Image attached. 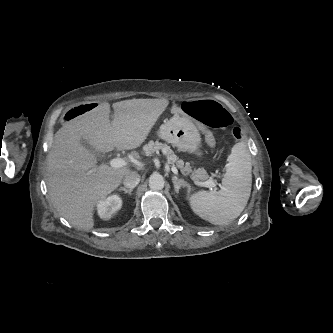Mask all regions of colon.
I'll use <instances>...</instances> for the list:
<instances>
[{"label": "colon", "mask_w": 333, "mask_h": 333, "mask_svg": "<svg viewBox=\"0 0 333 333\" xmlns=\"http://www.w3.org/2000/svg\"><path fill=\"white\" fill-rule=\"evenodd\" d=\"M97 108V102H88L68 111L65 119L70 121L83 112ZM183 110L207 127L229 128L233 125L232 116L220 104L212 100L186 102L183 104ZM232 128L229 132L237 141H242L245 138L244 131L235 125Z\"/></svg>", "instance_id": "colon-1"}]
</instances>
